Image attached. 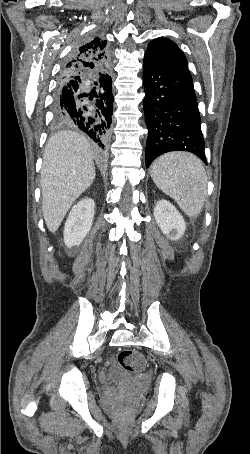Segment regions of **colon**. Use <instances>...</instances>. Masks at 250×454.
<instances>
[{
	"instance_id": "colon-1",
	"label": "colon",
	"mask_w": 250,
	"mask_h": 454,
	"mask_svg": "<svg viewBox=\"0 0 250 454\" xmlns=\"http://www.w3.org/2000/svg\"><path fill=\"white\" fill-rule=\"evenodd\" d=\"M119 365L127 372L139 373L144 370L146 361L144 356L135 350H122L118 354Z\"/></svg>"
}]
</instances>
